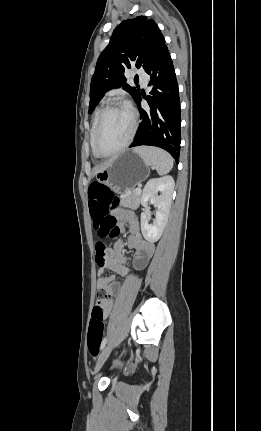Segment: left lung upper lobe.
Masks as SVG:
<instances>
[{
    "label": "left lung upper lobe",
    "mask_w": 261,
    "mask_h": 431,
    "mask_svg": "<svg viewBox=\"0 0 261 431\" xmlns=\"http://www.w3.org/2000/svg\"><path fill=\"white\" fill-rule=\"evenodd\" d=\"M164 46V37L152 19L138 16L119 24L97 60L90 86L89 113L101 96L113 88L122 87L136 100L140 87L126 83L125 70L131 66L146 70Z\"/></svg>",
    "instance_id": "1"
}]
</instances>
